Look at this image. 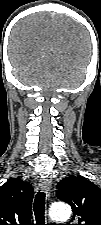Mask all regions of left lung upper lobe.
<instances>
[{
	"instance_id": "1",
	"label": "left lung upper lobe",
	"mask_w": 101,
	"mask_h": 225,
	"mask_svg": "<svg viewBox=\"0 0 101 225\" xmlns=\"http://www.w3.org/2000/svg\"><path fill=\"white\" fill-rule=\"evenodd\" d=\"M56 196L71 205L73 224L101 225V189L81 176L67 177L57 184Z\"/></svg>"
}]
</instances>
